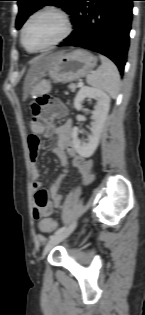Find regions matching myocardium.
I'll list each match as a JSON object with an SVG mask.
<instances>
[{
	"label": "myocardium",
	"instance_id": "myocardium-1",
	"mask_svg": "<svg viewBox=\"0 0 145 315\" xmlns=\"http://www.w3.org/2000/svg\"><path fill=\"white\" fill-rule=\"evenodd\" d=\"M41 15H52V16L58 18L62 24V32L60 33V35L56 39L49 42L48 44L41 46V47H37V48H31L25 42L26 28L32 19H34L38 16H41ZM70 32H71V22H70L68 15L59 9H56L53 7H48V8H44V9H41V10H38V11L32 13L25 20V22L22 26V29H21V43H22L23 47L29 52L46 51V50L60 44L61 42H63L69 36Z\"/></svg>",
	"mask_w": 145,
	"mask_h": 315
}]
</instances>
